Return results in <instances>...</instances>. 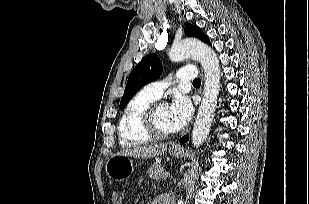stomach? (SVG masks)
Segmentation results:
<instances>
[{"label":"stomach","instance_id":"obj_1","mask_svg":"<svg viewBox=\"0 0 309 204\" xmlns=\"http://www.w3.org/2000/svg\"><path fill=\"white\" fill-rule=\"evenodd\" d=\"M183 152V149H169V154L175 158L180 157ZM105 171L108 177L115 181L125 180L134 171V161L130 156L115 154L108 159Z\"/></svg>","mask_w":309,"mask_h":204}]
</instances>
